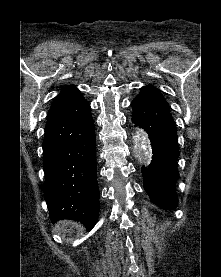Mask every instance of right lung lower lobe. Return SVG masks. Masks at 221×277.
Masks as SVG:
<instances>
[{
  "instance_id": "obj_1",
  "label": "right lung lower lobe",
  "mask_w": 221,
  "mask_h": 277,
  "mask_svg": "<svg viewBox=\"0 0 221 277\" xmlns=\"http://www.w3.org/2000/svg\"><path fill=\"white\" fill-rule=\"evenodd\" d=\"M89 103L78 89L52 104L43 141L44 197L50 219L81 221L91 230L99 214L96 136Z\"/></svg>"
}]
</instances>
